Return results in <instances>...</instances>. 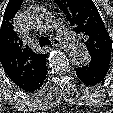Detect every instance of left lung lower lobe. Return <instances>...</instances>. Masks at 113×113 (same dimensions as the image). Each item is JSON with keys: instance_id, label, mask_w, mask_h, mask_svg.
Returning <instances> with one entry per match:
<instances>
[{"instance_id": "obj_1", "label": "left lung lower lobe", "mask_w": 113, "mask_h": 113, "mask_svg": "<svg viewBox=\"0 0 113 113\" xmlns=\"http://www.w3.org/2000/svg\"><path fill=\"white\" fill-rule=\"evenodd\" d=\"M107 71V65L91 59L88 65L76 68V75L84 84L96 85L104 80Z\"/></svg>"}]
</instances>
